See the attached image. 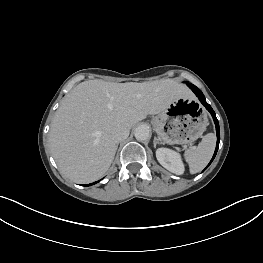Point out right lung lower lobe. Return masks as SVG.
I'll return each mask as SVG.
<instances>
[{"label":"right lung lower lobe","mask_w":263,"mask_h":263,"mask_svg":"<svg viewBox=\"0 0 263 263\" xmlns=\"http://www.w3.org/2000/svg\"><path fill=\"white\" fill-rule=\"evenodd\" d=\"M95 183H97V182L91 183V184H89V185H84V186H90V185H93V184H95Z\"/></svg>","instance_id":"1"}]
</instances>
